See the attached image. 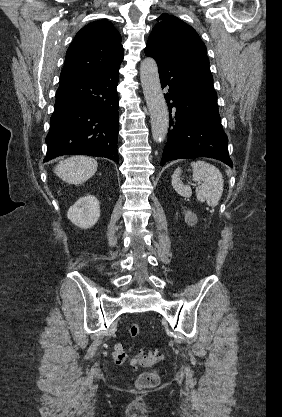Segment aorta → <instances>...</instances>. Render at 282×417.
<instances>
[{"instance_id":"1","label":"aorta","mask_w":282,"mask_h":417,"mask_svg":"<svg viewBox=\"0 0 282 417\" xmlns=\"http://www.w3.org/2000/svg\"><path fill=\"white\" fill-rule=\"evenodd\" d=\"M143 94L149 108L152 136L156 142L164 140L169 126V112L162 92L156 60L147 56L140 64Z\"/></svg>"}]
</instances>
